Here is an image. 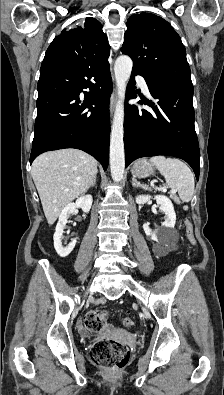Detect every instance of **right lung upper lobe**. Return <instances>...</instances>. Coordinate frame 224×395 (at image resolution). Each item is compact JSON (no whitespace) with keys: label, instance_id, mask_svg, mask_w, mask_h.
<instances>
[{"label":"right lung upper lobe","instance_id":"cb5924a9","mask_svg":"<svg viewBox=\"0 0 224 395\" xmlns=\"http://www.w3.org/2000/svg\"><path fill=\"white\" fill-rule=\"evenodd\" d=\"M110 47L98 20L87 17L81 26L63 30L48 47L43 61L54 60L80 69L108 64Z\"/></svg>","mask_w":224,"mask_h":395}]
</instances>
